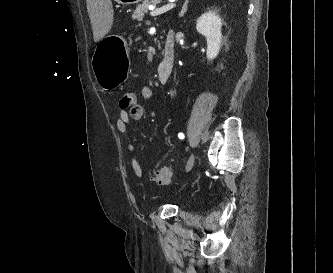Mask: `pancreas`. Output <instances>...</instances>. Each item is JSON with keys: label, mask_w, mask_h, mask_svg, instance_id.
<instances>
[{"label": "pancreas", "mask_w": 333, "mask_h": 273, "mask_svg": "<svg viewBox=\"0 0 333 273\" xmlns=\"http://www.w3.org/2000/svg\"><path fill=\"white\" fill-rule=\"evenodd\" d=\"M160 0H145L142 4L138 5V7L136 8V10L134 11L133 15H132V19L133 20H137V21H142L143 17L145 15V13L148 12V6L153 3H157Z\"/></svg>", "instance_id": "1"}]
</instances>
